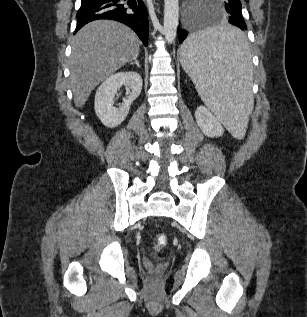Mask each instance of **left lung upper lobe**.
Segmentation results:
<instances>
[{"label": "left lung upper lobe", "instance_id": "left-lung-upper-lobe-1", "mask_svg": "<svg viewBox=\"0 0 307 317\" xmlns=\"http://www.w3.org/2000/svg\"><path fill=\"white\" fill-rule=\"evenodd\" d=\"M226 11L228 14L236 15L240 18L242 17L241 13V2L240 0H225Z\"/></svg>", "mask_w": 307, "mask_h": 317}]
</instances>
